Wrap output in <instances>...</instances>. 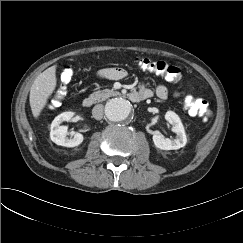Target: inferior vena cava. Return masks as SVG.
Segmentation results:
<instances>
[{
  "instance_id": "inferior-vena-cava-1",
  "label": "inferior vena cava",
  "mask_w": 243,
  "mask_h": 243,
  "mask_svg": "<svg viewBox=\"0 0 243 243\" xmlns=\"http://www.w3.org/2000/svg\"><path fill=\"white\" fill-rule=\"evenodd\" d=\"M92 115L95 119L100 120L103 117V105L98 104L92 109Z\"/></svg>"
}]
</instances>
